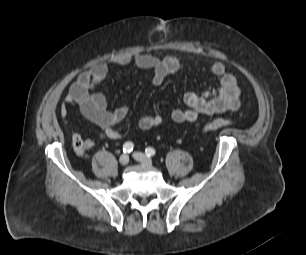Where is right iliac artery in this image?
<instances>
[{
	"label": "right iliac artery",
	"instance_id": "obj_1",
	"mask_svg": "<svg viewBox=\"0 0 306 255\" xmlns=\"http://www.w3.org/2000/svg\"><path fill=\"white\" fill-rule=\"evenodd\" d=\"M134 148V144L132 142H126L123 145V152L124 153H130Z\"/></svg>",
	"mask_w": 306,
	"mask_h": 255
}]
</instances>
